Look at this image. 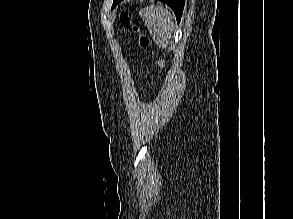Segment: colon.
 Returning a JSON list of instances; mask_svg holds the SVG:
<instances>
[{"mask_svg": "<svg viewBox=\"0 0 293 219\" xmlns=\"http://www.w3.org/2000/svg\"><path fill=\"white\" fill-rule=\"evenodd\" d=\"M120 21H121V24L123 26H126V27L131 26V22H130L129 17L124 13H122L120 15ZM132 28L138 35V42H139L140 46L145 48V49H151L152 48V42H151V39L149 38V36L146 35L145 33H142L141 31H139L138 27H136V26H132ZM158 65L161 68H164L165 67V61L162 58H159Z\"/></svg>", "mask_w": 293, "mask_h": 219, "instance_id": "obj_1", "label": "colon"}]
</instances>
